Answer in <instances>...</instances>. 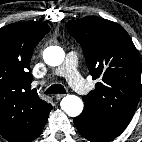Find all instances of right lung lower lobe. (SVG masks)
Wrapping results in <instances>:
<instances>
[{
    "mask_svg": "<svg viewBox=\"0 0 142 142\" xmlns=\"http://www.w3.org/2000/svg\"><path fill=\"white\" fill-rule=\"evenodd\" d=\"M44 126H45V124H44V125L42 126V128L39 130V132L37 133V135H36V137H35L34 139H36V138L41 134V132H42Z\"/></svg>",
    "mask_w": 142,
    "mask_h": 142,
    "instance_id": "right-lung-lower-lobe-1",
    "label": "right lung lower lobe"
}]
</instances>
